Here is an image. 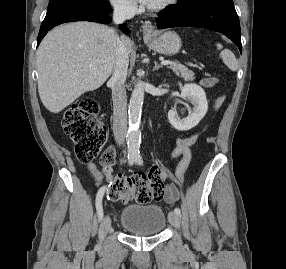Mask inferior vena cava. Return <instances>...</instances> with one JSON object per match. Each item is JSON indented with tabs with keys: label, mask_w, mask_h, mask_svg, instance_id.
Instances as JSON below:
<instances>
[{
	"label": "inferior vena cava",
	"mask_w": 286,
	"mask_h": 269,
	"mask_svg": "<svg viewBox=\"0 0 286 269\" xmlns=\"http://www.w3.org/2000/svg\"><path fill=\"white\" fill-rule=\"evenodd\" d=\"M113 21L121 24L135 15V9L127 2L114 4ZM126 37L117 41L113 74L110 79L113 100V133L118 145L123 144L127 134V96L125 80L127 76L129 57Z\"/></svg>",
	"instance_id": "602c4592"
}]
</instances>
